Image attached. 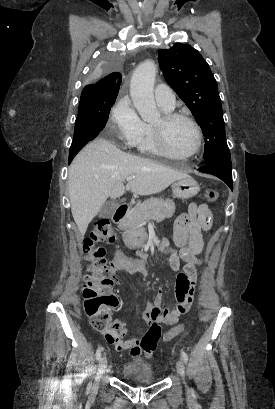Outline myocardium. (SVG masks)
Segmentation results:
<instances>
[{
  "instance_id": "1",
  "label": "myocardium",
  "mask_w": 275,
  "mask_h": 409,
  "mask_svg": "<svg viewBox=\"0 0 275 409\" xmlns=\"http://www.w3.org/2000/svg\"><path fill=\"white\" fill-rule=\"evenodd\" d=\"M183 120L189 123L195 133V145L192 151L186 155H180L175 153L169 144V131L171 126L179 121ZM155 142L159 149L168 157H194L199 152L202 146V132L198 123L191 117L180 114L170 113L161 116L160 120L153 125Z\"/></svg>"
}]
</instances>
